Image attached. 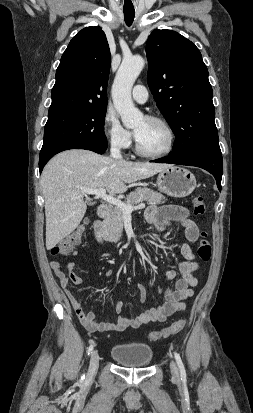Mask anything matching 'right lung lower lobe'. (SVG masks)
<instances>
[{"label": "right lung lower lobe", "instance_id": "obj_1", "mask_svg": "<svg viewBox=\"0 0 253 413\" xmlns=\"http://www.w3.org/2000/svg\"><path fill=\"white\" fill-rule=\"evenodd\" d=\"M107 141L103 142H94V143H82V142H63L56 144L54 146H51L46 149H42L40 152V160H39V170L42 172L43 167L45 164L57 153L64 151V150H69V149H85V150H91L99 154H103L105 150L107 149Z\"/></svg>", "mask_w": 253, "mask_h": 413}]
</instances>
